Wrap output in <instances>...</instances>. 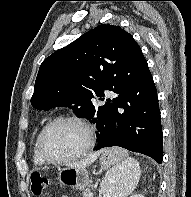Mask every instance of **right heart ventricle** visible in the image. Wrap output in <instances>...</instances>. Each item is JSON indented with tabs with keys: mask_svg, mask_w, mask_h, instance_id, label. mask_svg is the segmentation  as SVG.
Listing matches in <instances>:
<instances>
[{
	"mask_svg": "<svg viewBox=\"0 0 191 197\" xmlns=\"http://www.w3.org/2000/svg\"><path fill=\"white\" fill-rule=\"evenodd\" d=\"M36 142H37V138H36L34 145H33V161L36 165L42 166V165H45L46 163L40 158V156L38 154Z\"/></svg>",
	"mask_w": 191,
	"mask_h": 197,
	"instance_id": "obj_1",
	"label": "right heart ventricle"
}]
</instances>
